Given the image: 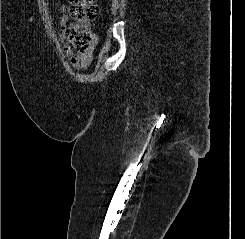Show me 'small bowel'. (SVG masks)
<instances>
[{"label": "small bowel", "instance_id": "small-bowel-1", "mask_svg": "<svg viewBox=\"0 0 245 239\" xmlns=\"http://www.w3.org/2000/svg\"><path fill=\"white\" fill-rule=\"evenodd\" d=\"M65 10H66L65 7L62 6L61 7L62 16L60 17V28H61V34L63 36L69 20L68 16L65 14ZM67 52H68L67 56L69 58L71 65L78 70L87 69L93 61L92 55L77 56V55L69 54V50Z\"/></svg>", "mask_w": 245, "mask_h": 239}]
</instances>
